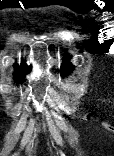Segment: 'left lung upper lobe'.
I'll list each match as a JSON object with an SVG mask.
<instances>
[{"label": "left lung upper lobe", "instance_id": "5c2ea615", "mask_svg": "<svg viewBox=\"0 0 114 156\" xmlns=\"http://www.w3.org/2000/svg\"><path fill=\"white\" fill-rule=\"evenodd\" d=\"M69 59V57H67L65 60H64V63L62 64L61 66V72H62V75H66L68 73H70L73 69L72 65H70L67 60Z\"/></svg>", "mask_w": 114, "mask_h": 156}]
</instances>
